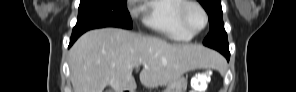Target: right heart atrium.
Returning <instances> with one entry per match:
<instances>
[{
	"mask_svg": "<svg viewBox=\"0 0 296 92\" xmlns=\"http://www.w3.org/2000/svg\"><path fill=\"white\" fill-rule=\"evenodd\" d=\"M138 13H139V9H138V8H132V9H131V14H132L133 16H137Z\"/></svg>",
	"mask_w": 296,
	"mask_h": 92,
	"instance_id": "d8ad5b80",
	"label": "right heart atrium"
}]
</instances>
